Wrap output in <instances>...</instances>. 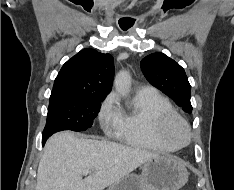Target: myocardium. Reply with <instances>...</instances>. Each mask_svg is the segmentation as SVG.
Returning a JSON list of instances; mask_svg holds the SVG:
<instances>
[{
	"label": "myocardium",
	"instance_id": "f54148a6",
	"mask_svg": "<svg viewBox=\"0 0 234 190\" xmlns=\"http://www.w3.org/2000/svg\"><path fill=\"white\" fill-rule=\"evenodd\" d=\"M175 127H179L182 130L184 134L182 140H176L173 137L172 131ZM159 132L166 142L174 145L177 149L186 146L192 138V132L188 122L176 112L167 113L162 117Z\"/></svg>",
	"mask_w": 234,
	"mask_h": 190
}]
</instances>
